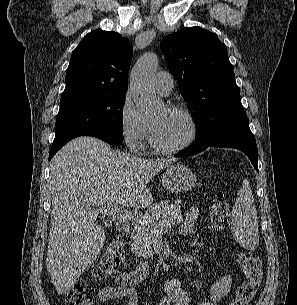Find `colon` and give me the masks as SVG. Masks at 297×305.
Here are the masks:
<instances>
[{"mask_svg": "<svg viewBox=\"0 0 297 305\" xmlns=\"http://www.w3.org/2000/svg\"><path fill=\"white\" fill-rule=\"evenodd\" d=\"M230 205L223 194H218L211 205L208 227L218 234L228 224ZM125 245L121 237H114L107 245L100 258L92 267L91 274L96 279H103L119 272L125 262ZM243 274V281L238 286L234 297L228 305H249L257 294L262 279L263 270L261 260L250 252H240L236 256ZM67 305H95V298L89 290L86 280L78 281L66 293Z\"/></svg>", "mask_w": 297, "mask_h": 305, "instance_id": "colon-1", "label": "colon"}]
</instances>
